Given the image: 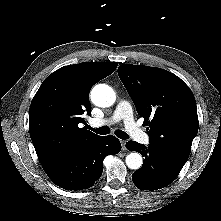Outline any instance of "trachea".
Instances as JSON below:
<instances>
[{"label":"trachea","instance_id":"3493384b","mask_svg":"<svg viewBox=\"0 0 221 221\" xmlns=\"http://www.w3.org/2000/svg\"><path fill=\"white\" fill-rule=\"evenodd\" d=\"M87 128L89 130L95 132L96 134H100V135H106V134H108L110 132V129L108 127H106V126H103V127H100V128H96V129L92 128L90 126H87ZM115 134H116V136L118 138L123 139V140L128 138V135L124 131H122V130H116Z\"/></svg>","mask_w":221,"mask_h":221}]
</instances>
